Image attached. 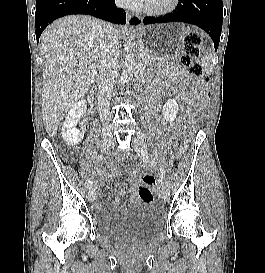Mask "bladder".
Wrapping results in <instances>:
<instances>
[{
  "instance_id": "bladder-1",
  "label": "bladder",
  "mask_w": 265,
  "mask_h": 273,
  "mask_svg": "<svg viewBox=\"0 0 265 273\" xmlns=\"http://www.w3.org/2000/svg\"><path fill=\"white\" fill-rule=\"evenodd\" d=\"M98 231L110 238L144 239L161 232L163 216L153 205H133L95 218Z\"/></svg>"
}]
</instances>
